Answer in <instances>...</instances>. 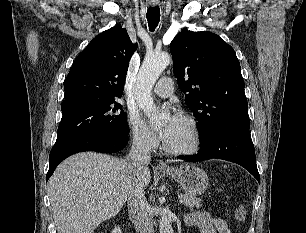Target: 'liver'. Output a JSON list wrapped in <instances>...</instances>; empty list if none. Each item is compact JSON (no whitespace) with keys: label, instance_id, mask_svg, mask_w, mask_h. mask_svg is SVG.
Returning <instances> with one entry per match:
<instances>
[{"label":"liver","instance_id":"liver-1","mask_svg":"<svg viewBox=\"0 0 306 233\" xmlns=\"http://www.w3.org/2000/svg\"><path fill=\"white\" fill-rule=\"evenodd\" d=\"M127 160L95 152L64 160L49 179V197L58 233H92L114 217L128 200L135 181ZM151 180L146 166L139 175Z\"/></svg>","mask_w":306,"mask_h":233}]
</instances>
